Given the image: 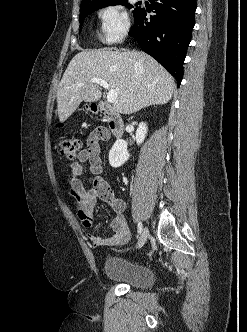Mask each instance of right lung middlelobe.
<instances>
[{
    "mask_svg": "<svg viewBox=\"0 0 247 332\" xmlns=\"http://www.w3.org/2000/svg\"><path fill=\"white\" fill-rule=\"evenodd\" d=\"M128 0H107L101 3H96L93 5H89L86 7H82L80 8V17H79V21H80V27L83 24L84 18L91 12H94L100 8L106 7V6H110V5H121L124 4L127 8L131 9L133 6L127 3ZM138 10V7L135 8V10L133 11L134 13Z\"/></svg>",
    "mask_w": 247,
    "mask_h": 332,
    "instance_id": "1",
    "label": "right lung middle lobe"
}]
</instances>
